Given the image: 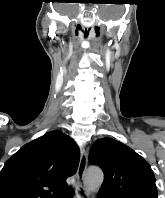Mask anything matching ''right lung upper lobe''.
Here are the masks:
<instances>
[{
    "instance_id": "cb5924a9",
    "label": "right lung upper lobe",
    "mask_w": 165,
    "mask_h": 198,
    "mask_svg": "<svg viewBox=\"0 0 165 198\" xmlns=\"http://www.w3.org/2000/svg\"><path fill=\"white\" fill-rule=\"evenodd\" d=\"M79 164L74 141L52 131L31 141L0 172V198H58Z\"/></svg>"
}]
</instances>
